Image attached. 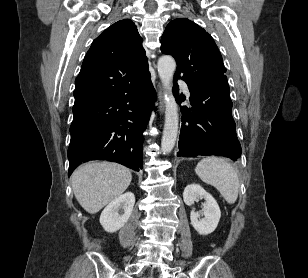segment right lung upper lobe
<instances>
[{
  "label": "right lung upper lobe",
  "instance_id": "obj_1",
  "mask_svg": "<svg viewBox=\"0 0 308 278\" xmlns=\"http://www.w3.org/2000/svg\"><path fill=\"white\" fill-rule=\"evenodd\" d=\"M150 76L142 38L129 19L97 37L75 80L74 108L124 95Z\"/></svg>",
  "mask_w": 308,
  "mask_h": 278
}]
</instances>
